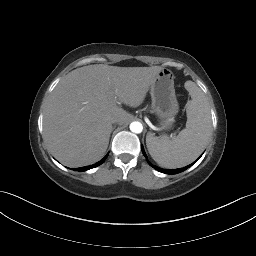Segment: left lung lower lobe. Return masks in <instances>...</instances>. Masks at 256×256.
Segmentation results:
<instances>
[{
    "label": "left lung lower lobe",
    "instance_id": "obj_1",
    "mask_svg": "<svg viewBox=\"0 0 256 256\" xmlns=\"http://www.w3.org/2000/svg\"><path fill=\"white\" fill-rule=\"evenodd\" d=\"M142 153L144 154V156L146 157V159H147V156H146V154H145V152H144V149L142 148ZM201 157V156H200ZM199 157V158H200ZM198 158V159H199ZM197 159V160H198ZM196 160V161H197ZM148 161V160H147ZM195 161V162H196ZM195 162H193V164L195 163ZM148 163H149V165L150 166H152L153 168H155L156 170H158V171H160V172H162V173H165V174H177V173H180V172H182V171H184V170H186L187 168H189L191 165H188V166H186V167H184V168H179V169H171V170H169V169H162V168H159V167H157V166H154V165H152L149 161H148Z\"/></svg>",
    "mask_w": 256,
    "mask_h": 256
}]
</instances>
